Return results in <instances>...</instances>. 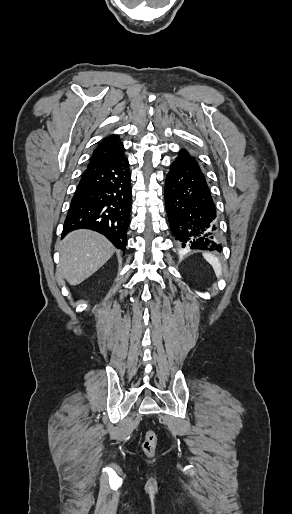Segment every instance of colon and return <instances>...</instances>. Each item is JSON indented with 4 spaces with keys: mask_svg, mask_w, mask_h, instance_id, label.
Segmentation results:
<instances>
[{
    "mask_svg": "<svg viewBox=\"0 0 292 514\" xmlns=\"http://www.w3.org/2000/svg\"><path fill=\"white\" fill-rule=\"evenodd\" d=\"M157 446V435L153 429H147L145 432L144 440L142 442V450L148 457H152L155 454Z\"/></svg>",
    "mask_w": 292,
    "mask_h": 514,
    "instance_id": "1",
    "label": "colon"
}]
</instances>
